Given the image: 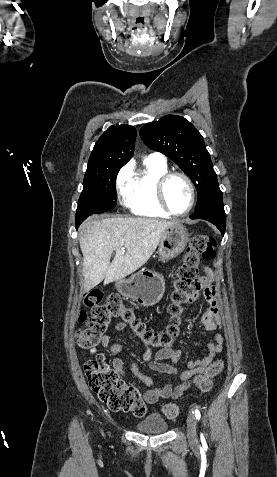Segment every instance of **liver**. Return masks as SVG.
Segmentation results:
<instances>
[{
	"instance_id": "obj_1",
	"label": "liver",
	"mask_w": 277,
	"mask_h": 477,
	"mask_svg": "<svg viewBox=\"0 0 277 477\" xmlns=\"http://www.w3.org/2000/svg\"><path fill=\"white\" fill-rule=\"evenodd\" d=\"M176 223L140 217L87 219L79 229L84 292L103 280L108 284L138 270L151 257L164 232ZM113 251L116 254L110 262Z\"/></svg>"
}]
</instances>
